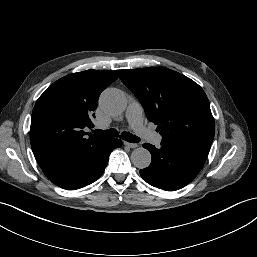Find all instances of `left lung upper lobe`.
<instances>
[{"mask_svg": "<svg viewBox=\"0 0 257 257\" xmlns=\"http://www.w3.org/2000/svg\"><path fill=\"white\" fill-rule=\"evenodd\" d=\"M120 79L142 104L162 141L209 142L215 126L208 98L188 77L167 68L121 70Z\"/></svg>", "mask_w": 257, "mask_h": 257, "instance_id": "left-lung-upper-lobe-1", "label": "left lung upper lobe"}]
</instances>
